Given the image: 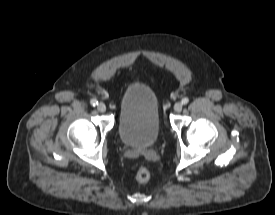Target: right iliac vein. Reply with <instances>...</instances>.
I'll return each mask as SVG.
<instances>
[{
	"label": "right iliac vein",
	"mask_w": 275,
	"mask_h": 215,
	"mask_svg": "<svg viewBox=\"0 0 275 215\" xmlns=\"http://www.w3.org/2000/svg\"><path fill=\"white\" fill-rule=\"evenodd\" d=\"M97 109L100 111V112H105L106 111V106L104 103H99L98 106H97Z\"/></svg>",
	"instance_id": "63e3f726"
}]
</instances>
